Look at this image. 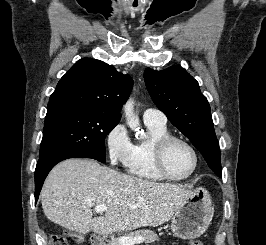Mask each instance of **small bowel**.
Masks as SVG:
<instances>
[{
	"instance_id": "small-bowel-1",
	"label": "small bowel",
	"mask_w": 266,
	"mask_h": 245,
	"mask_svg": "<svg viewBox=\"0 0 266 245\" xmlns=\"http://www.w3.org/2000/svg\"><path fill=\"white\" fill-rule=\"evenodd\" d=\"M191 242H199V241H191Z\"/></svg>"
}]
</instances>
